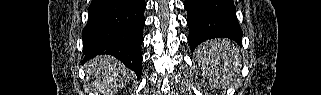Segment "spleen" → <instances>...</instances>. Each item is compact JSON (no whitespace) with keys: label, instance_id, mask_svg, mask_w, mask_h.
Segmentation results:
<instances>
[{"label":"spleen","instance_id":"obj_1","mask_svg":"<svg viewBox=\"0 0 321 95\" xmlns=\"http://www.w3.org/2000/svg\"><path fill=\"white\" fill-rule=\"evenodd\" d=\"M196 58L209 82L215 87L229 86L241 66V55L234 42L210 40L197 48Z\"/></svg>","mask_w":321,"mask_h":95}]
</instances>
